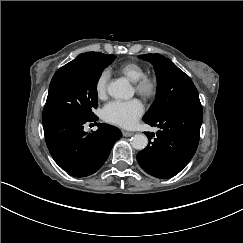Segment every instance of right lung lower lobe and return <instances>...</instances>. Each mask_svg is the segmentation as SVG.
Instances as JSON below:
<instances>
[{"label": "right lung lower lobe", "mask_w": 243, "mask_h": 243, "mask_svg": "<svg viewBox=\"0 0 243 243\" xmlns=\"http://www.w3.org/2000/svg\"><path fill=\"white\" fill-rule=\"evenodd\" d=\"M97 120V117L65 116L43 124L50 154L71 176L86 177L98 171L122 136L119 129L100 123L98 130L87 134L83 125Z\"/></svg>", "instance_id": "98d812e1"}]
</instances>
